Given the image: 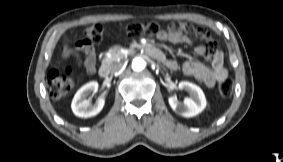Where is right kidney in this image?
Here are the masks:
<instances>
[{
    "mask_svg": "<svg viewBox=\"0 0 283 162\" xmlns=\"http://www.w3.org/2000/svg\"><path fill=\"white\" fill-rule=\"evenodd\" d=\"M98 87V82L91 81L77 91L71 104L72 111L76 116L82 118L92 117L103 109L105 104L104 97H100L94 105L87 99V96L91 93L97 92Z\"/></svg>",
    "mask_w": 283,
    "mask_h": 162,
    "instance_id": "obj_1",
    "label": "right kidney"
}]
</instances>
